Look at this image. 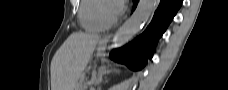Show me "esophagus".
Masks as SVG:
<instances>
[{
  "label": "esophagus",
  "instance_id": "esophagus-1",
  "mask_svg": "<svg viewBox=\"0 0 228 90\" xmlns=\"http://www.w3.org/2000/svg\"><path fill=\"white\" fill-rule=\"evenodd\" d=\"M110 37H111V35H106V36L102 39V41H103V42H108L109 39H110Z\"/></svg>",
  "mask_w": 228,
  "mask_h": 90
}]
</instances>
